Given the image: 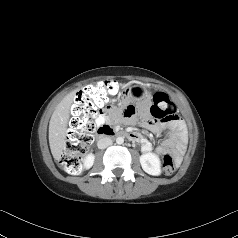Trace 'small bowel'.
I'll use <instances>...</instances> for the list:
<instances>
[{
  "label": "small bowel",
  "mask_w": 238,
  "mask_h": 238,
  "mask_svg": "<svg viewBox=\"0 0 238 238\" xmlns=\"http://www.w3.org/2000/svg\"><path fill=\"white\" fill-rule=\"evenodd\" d=\"M122 114L130 122L134 123L136 121L134 117L137 114V109L134 105L127 104L123 107ZM139 114L141 116V125L146 129L152 131L153 133L159 134L163 132L166 127L169 129L167 137L157 147L156 153L161 155L167 151H172L177 156H180V154L184 151L187 143V131L185 124L178 118H175L168 123H161L156 118L150 119L147 114L146 103H142L140 105ZM112 116L113 112L111 110L101 111L96 116V124L98 126H104L108 122H110ZM135 134L138 136L137 142L141 144L142 151L150 152L152 150V144L150 143V141L139 133Z\"/></svg>",
  "instance_id": "c3829d8e"
}]
</instances>
